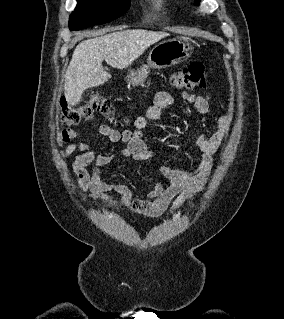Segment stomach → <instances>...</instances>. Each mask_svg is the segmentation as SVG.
<instances>
[{"label":"stomach","mask_w":284,"mask_h":319,"mask_svg":"<svg viewBox=\"0 0 284 319\" xmlns=\"http://www.w3.org/2000/svg\"><path fill=\"white\" fill-rule=\"evenodd\" d=\"M192 47L183 38L169 39L156 45L149 53L146 65L127 76L132 86H138L145 82L150 69H162L187 60L191 56Z\"/></svg>","instance_id":"0dacf381"}]
</instances>
